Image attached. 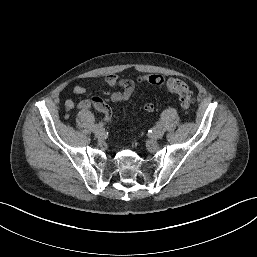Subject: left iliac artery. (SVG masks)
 I'll return each instance as SVG.
<instances>
[{"label": "left iliac artery", "instance_id": "1", "mask_svg": "<svg viewBox=\"0 0 257 257\" xmlns=\"http://www.w3.org/2000/svg\"><path fill=\"white\" fill-rule=\"evenodd\" d=\"M161 127V122L156 123V128Z\"/></svg>", "mask_w": 257, "mask_h": 257}]
</instances>
